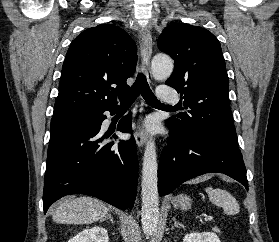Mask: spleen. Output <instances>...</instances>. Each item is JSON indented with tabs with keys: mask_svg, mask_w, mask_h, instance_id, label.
<instances>
[{
	"mask_svg": "<svg viewBox=\"0 0 279 242\" xmlns=\"http://www.w3.org/2000/svg\"><path fill=\"white\" fill-rule=\"evenodd\" d=\"M205 191L208 194L209 200L224 209L228 215H234L239 212V204L237 200L226 190L219 188L207 187Z\"/></svg>",
	"mask_w": 279,
	"mask_h": 242,
	"instance_id": "1",
	"label": "spleen"
}]
</instances>
